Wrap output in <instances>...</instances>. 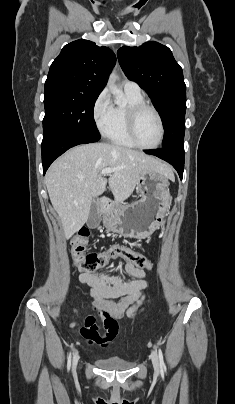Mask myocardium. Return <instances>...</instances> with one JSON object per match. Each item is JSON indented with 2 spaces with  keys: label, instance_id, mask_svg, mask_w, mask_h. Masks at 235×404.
Returning a JSON list of instances; mask_svg holds the SVG:
<instances>
[{
  "label": "myocardium",
  "instance_id": "1",
  "mask_svg": "<svg viewBox=\"0 0 235 404\" xmlns=\"http://www.w3.org/2000/svg\"><path fill=\"white\" fill-rule=\"evenodd\" d=\"M145 110H149V111L153 112L159 122L160 136H159L158 141L154 145H151V146H146V145L141 144L138 141L137 136H136V123H137L138 117ZM126 126H127V133L129 135V138L137 147H139L141 149H155L158 146H160V144L162 143V141L164 139L165 127H164V122H163L161 114L155 107H153L145 102L131 105L128 107Z\"/></svg>",
  "mask_w": 235,
  "mask_h": 404
}]
</instances>
